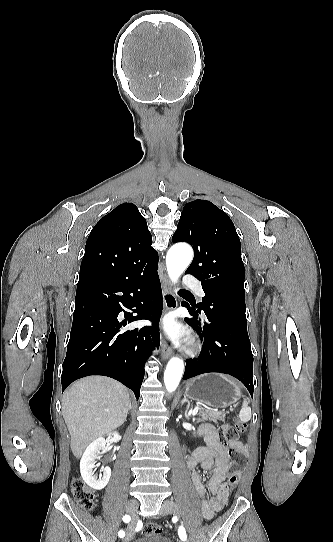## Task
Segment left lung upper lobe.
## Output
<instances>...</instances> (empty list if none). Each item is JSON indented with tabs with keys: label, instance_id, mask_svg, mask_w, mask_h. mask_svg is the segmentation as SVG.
Returning a JSON list of instances; mask_svg holds the SVG:
<instances>
[{
	"label": "left lung upper lobe",
	"instance_id": "left-lung-upper-lobe-1",
	"mask_svg": "<svg viewBox=\"0 0 333 542\" xmlns=\"http://www.w3.org/2000/svg\"><path fill=\"white\" fill-rule=\"evenodd\" d=\"M185 241L194 250L186 274L202 281L205 297L194 303L206 317L221 303L245 308L244 265L240 239L229 216L207 200L187 203L172 242Z\"/></svg>",
	"mask_w": 333,
	"mask_h": 542
}]
</instances>
